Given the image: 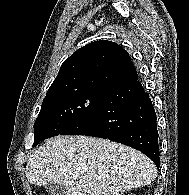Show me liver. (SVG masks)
Listing matches in <instances>:
<instances>
[{"mask_svg": "<svg viewBox=\"0 0 189 195\" xmlns=\"http://www.w3.org/2000/svg\"><path fill=\"white\" fill-rule=\"evenodd\" d=\"M26 177L31 184L60 183L64 195H121L157 177L154 163L120 143L88 136H56L29 157Z\"/></svg>", "mask_w": 189, "mask_h": 195, "instance_id": "1", "label": "liver"}]
</instances>
